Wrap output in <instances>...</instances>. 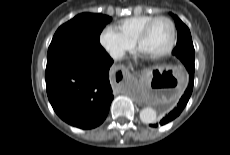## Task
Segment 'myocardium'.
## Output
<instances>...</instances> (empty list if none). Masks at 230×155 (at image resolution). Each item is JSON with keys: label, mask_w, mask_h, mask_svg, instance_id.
I'll return each instance as SVG.
<instances>
[{"label": "myocardium", "mask_w": 230, "mask_h": 155, "mask_svg": "<svg viewBox=\"0 0 230 155\" xmlns=\"http://www.w3.org/2000/svg\"><path fill=\"white\" fill-rule=\"evenodd\" d=\"M159 20H165L170 24L171 29H172V38H171V42L169 46L165 50L159 53L146 54L149 57L154 58V59H159V58L168 56L175 48L176 43H177V27H176L175 22L170 17H167V16H156L143 26V28L140 30V32L138 33L135 39V45L137 46L138 49H140V44L143 41V39L146 37V35L148 34L150 28L155 22Z\"/></svg>", "instance_id": "obj_1"}]
</instances>
